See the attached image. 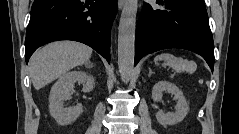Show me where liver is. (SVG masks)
<instances>
[{
    "mask_svg": "<svg viewBox=\"0 0 239 134\" xmlns=\"http://www.w3.org/2000/svg\"><path fill=\"white\" fill-rule=\"evenodd\" d=\"M92 49L73 41L53 42L37 50L29 62L30 77L39 90L70 69L89 61Z\"/></svg>",
    "mask_w": 239,
    "mask_h": 134,
    "instance_id": "6515ba94",
    "label": "liver"
}]
</instances>
